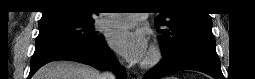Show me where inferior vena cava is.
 Masks as SVG:
<instances>
[{
	"label": "inferior vena cava",
	"mask_w": 255,
	"mask_h": 79,
	"mask_svg": "<svg viewBox=\"0 0 255 79\" xmlns=\"http://www.w3.org/2000/svg\"><path fill=\"white\" fill-rule=\"evenodd\" d=\"M101 79H115V75L110 72V71H106L103 74H101Z\"/></svg>",
	"instance_id": "inferior-vena-cava-1"
}]
</instances>
